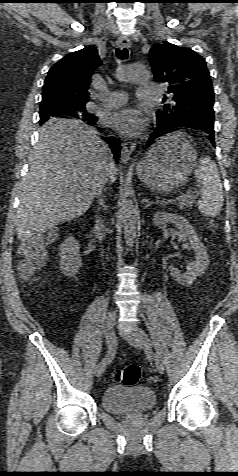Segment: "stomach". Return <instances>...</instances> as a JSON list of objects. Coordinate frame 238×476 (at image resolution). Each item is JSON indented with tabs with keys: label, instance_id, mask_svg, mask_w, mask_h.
<instances>
[{
	"label": "stomach",
	"instance_id": "stomach-1",
	"mask_svg": "<svg viewBox=\"0 0 238 476\" xmlns=\"http://www.w3.org/2000/svg\"><path fill=\"white\" fill-rule=\"evenodd\" d=\"M196 161L197 153L192 144L181 132H173L150 147L136 172L149 188L170 193L187 180Z\"/></svg>",
	"mask_w": 238,
	"mask_h": 476
}]
</instances>
